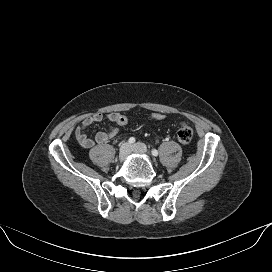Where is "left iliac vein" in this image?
Instances as JSON below:
<instances>
[{"instance_id":"4c4485c4","label":"left iliac vein","mask_w":272,"mask_h":272,"mask_svg":"<svg viewBox=\"0 0 272 272\" xmlns=\"http://www.w3.org/2000/svg\"><path fill=\"white\" fill-rule=\"evenodd\" d=\"M132 151L138 154H147V147L143 143H136L132 146Z\"/></svg>"}]
</instances>
